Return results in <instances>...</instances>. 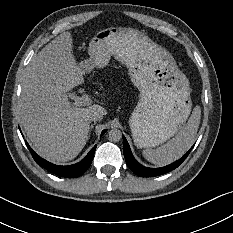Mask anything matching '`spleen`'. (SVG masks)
<instances>
[{
  "instance_id": "spleen-1",
  "label": "spleen",
  "mask_w": 233,
  "mask_h": 233,
  "mask_svg": "<svg viewBox=\"0 0 233 233\" xmlns=\"http://www.w3.org/2000/svg\"><path fill=\"white\" fill-rule=\"evenodd\" d=\"M201 108L195 105L187 124L166 144L144 151L146 159L159 167L179 160L193 145L199 129Z\"/></svg>"
}]
</instances>
